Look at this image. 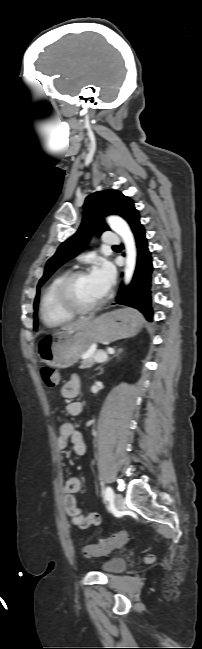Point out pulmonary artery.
Returning <instances> with one entry per match:
<instances>
[{
  "mask_svg": "<svg viewBox=\"0 0 202 649\" xmlns=\"http://www.w3.org/2000/svg\"><path fill=\"white\" fill-rule=\"evenodd\" d=\"M102 241L105 245L114 247L115 245H118L120 243V238L113 233H105Z\"/></svg>",
  "mask_w": 202,
  "mask_h": 649,
  "instance_id": "pulmonary-artery-1",
  "label": "pulmonary artery"
}]
</instances>
